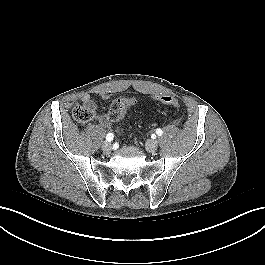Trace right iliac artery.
Returning <instances> with one entry per match:
<instances>
[{
	"label": "right iliac artery",
	"instance_id": "obj_1",
	"mask_svg": "<svg viewBox=\"0 0 265 265\" xmlns=\"http://www.w3.org/2000/svg\"><path fill=\"white\" fill-rule=\"evenodd\" d=\"M113 138H114L113 133H108L106 136V141L111 142L113 140Z\"/></svg>",
	"mask_w": 265,
	"mask_h": 265
}]
</instances>
